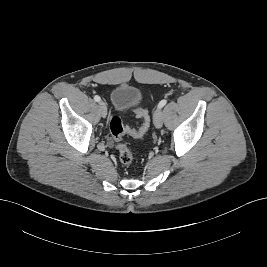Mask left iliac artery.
<instances>
[{"label": "left iliac artery", "instance_id": "obj_1", "mask_svg": "<svg viewBox=\"0 0 267 267\" xmlns=\"http://www.w3.org/2000/svg\"><path fill=\"white\" fill-rule=\"evenodd\" d=\"M166 103H167V100H161L160 102H159V104H158V108H162V107H164L165 105H166Z\"/></svg>", "mask_w": 267, "mask_h": 267}]
</instances>
